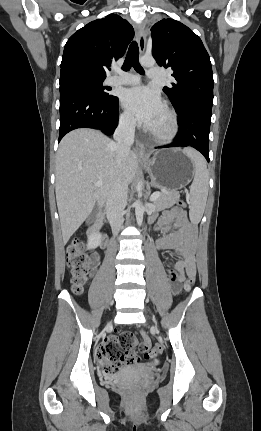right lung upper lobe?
Here are the masks:
<instances>
[{"label": "right lung upper lobe", "mask_w": 261, "mask_h": 431, "mask_svg": "<svg viewBox=\"0 0 261 431\" xmlns=\"http://www.w3.org/2000/svg\"><path fill=\"white\" fill-rule=\"evenodd\" d=\"M133 36V27L117 14L88 23L68 39L61 74L81 70L106 77L111 62L123 56Z\"/></svg>", "instance_id": "obj_1"}]
</instances>
